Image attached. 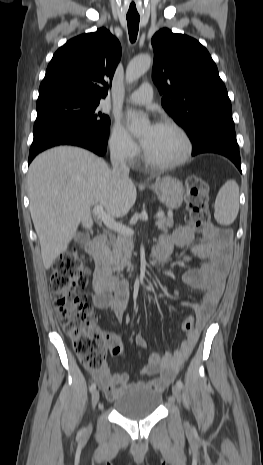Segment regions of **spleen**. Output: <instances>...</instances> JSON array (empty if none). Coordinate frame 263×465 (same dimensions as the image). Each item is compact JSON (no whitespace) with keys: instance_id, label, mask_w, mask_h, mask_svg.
<instances>
[{"instance_id":"3e777b00","label":"spleen","mask_w":263,"mask_h":465,"mask_svg":"<svg viewBox=\"0 0 263 465\" xmlns=\"http://www.w3.org/2000/svg\"><path fill=\"white\" fill-rule=\"evenodd\" d=\"M239 187L236 181H227L219 190L215 200L214 217L219 224L230 225L239 211Z\"/></svg>"}]
</instances>
